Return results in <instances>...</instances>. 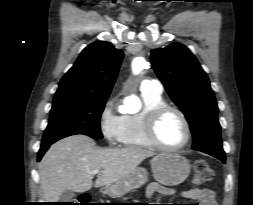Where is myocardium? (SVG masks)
Masks as SVG:
<instances>
[{
    "mask_svg": "<svg viewBox=\"0 0 253 205\" xmlns=\"http://www.w3.org/2000/svg\"><path fill=\"white\" fill-rule=\"evenodd\" d=\"M171 112L176 113L181 118L186 129L185 140L181 144L176 145V146H167L163 144L159 140L158 133H157V129H158V125L160 121L166 114L171 113ZM144 130H145L146 138L150 142V144L153 147L162 151H177V150L183 149L189 144L192 137L191 124L187 116L185 115V113L179 108L168 105V104L161 105L149 111V113L146 116Z\"/></svg>",
    "mask_w": 253,
    "mask_h": 205,
    "instance_id": "myocardium-1",
    "label": "myocardium"
}]
</instances>
